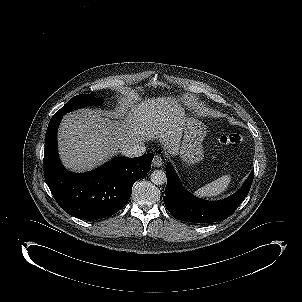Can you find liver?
<instances>
[{
    "mask_svg": "<svg viewBox=\"0 0 302 302\" xmlns=\"http://www.w3.org/2000/svg\"><path fill=\"white\" fill-rule=\"evenodd\" d=\"M185 113L171 97L126 101L115 112L80 109L63 116L58 131L64 165L83 172L104 163L127 146L159 141L179 154Z\"/></svg>",
    "mask_w": 302,
    "mask_h": 302,
    "instance_id": "liver-1",
    "label": "liver"
}]
</instances>
